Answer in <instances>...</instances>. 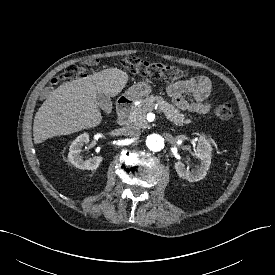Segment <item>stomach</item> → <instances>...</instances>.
<instances>
[{
  "instance_id": "1",
  "label": "stomach",
  "mask_w": 275,
  "mask_h": 275,
  "mask_svg": "<svg viewBox=\"0 0 275 275\" xmlns=\"http://www.w3.org/2000/svg\"><path fill=\"white\" fill-rule=\"evenodd\" d=\"M151 86L146 82H139L125 92V96L132 101L139 100L151 93Z\"/></svg>"
}]
</instances>
